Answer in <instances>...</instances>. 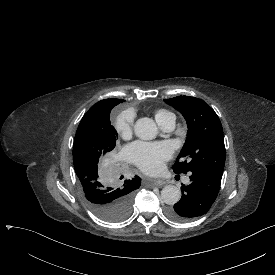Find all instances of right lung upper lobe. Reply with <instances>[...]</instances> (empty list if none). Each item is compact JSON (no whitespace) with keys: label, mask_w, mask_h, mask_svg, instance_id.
Returning <instances> with one entry per match:
<instances>
[{"label":"right lung upper lobe","mask_w":275,"mask_h":275,"mask_svg":"<svg viewBox=\"0 0 275 275\" xmlns=\"http://www.w3.org/2000/svg\"><path fill=\"white\" fill-rule=\"evenodd\" d=\"M123 101L124 100L122 99H105L94 104L87 113L88 114L104 113L111 110L114 106H116L117 104Z\"/></svg>","instance_id":"cb5924a9"}]
</instances>
